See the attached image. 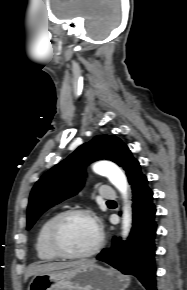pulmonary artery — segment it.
Segmentation results:
<instances>
[{
  "mask_svg": "<svg viewBox=\"0 0 187 290\" xmlns=\"http://www.w3.org/2000/svg\"><path fill=\"white\" fill-rule=\"evenodd\" d=\"M100 196L102 199L107 200V201H112L117 199V194L114 190L107 188V187H103L100 190Z\"/></svg>",
  "mask_w": 187,
  "mask_h": 290,
  "instance_id": "e3ab8cb5",
  "label": "pulmonary artery"
}]
</instances>
